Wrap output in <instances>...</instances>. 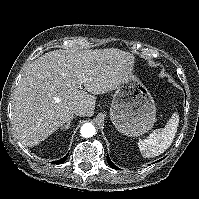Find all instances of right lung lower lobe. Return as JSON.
<instances>
[{
    "label": "right lung lower lobe",
    "instance_id": "98d812e1",
    "mask_svg": "<svg viewBox=\"0 0 199 199\" xmlns=\"http://www.w3.org/2000/svg\"><path fill=\"white\" fill-rule=\"evenodd\" d=\"M67 156H68V155H66L65 157L61 158V159L58 160V161L53 162V164H54V163H55V164H61V163H63V162L67 159Z\"/></svg>",
    "mask_w": 199,
    "mask_h": 199
}]
</instances>
